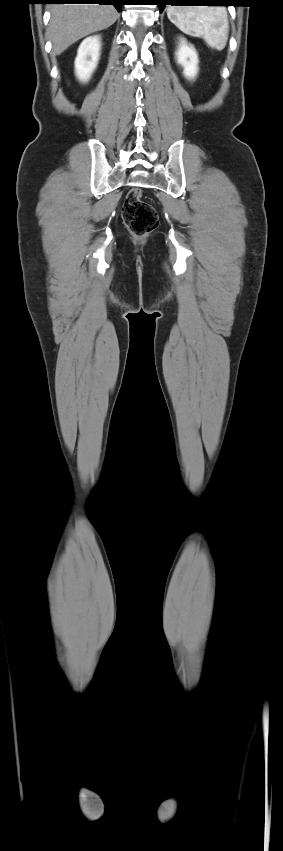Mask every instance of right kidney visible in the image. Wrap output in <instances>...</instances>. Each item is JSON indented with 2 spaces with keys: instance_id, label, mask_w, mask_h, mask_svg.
<instances>
[{
  "instance_id": "ca27d5eb",
  "label": "right kidney",
  "mask_w": 283,
  "mask_h": 851,
  "mask_svg": "<svg viewBox=\"0 0 283 851\" xmlns=\"http://www.w3.org/2000/svg\"><path fill=\"white\" fill-rule=\"evenodd\" d=\"M101 42L99 36L88 37L80 44L75 59V73L78 79L86 82L97 67Z\"/></svg>"
}]
</instances>
